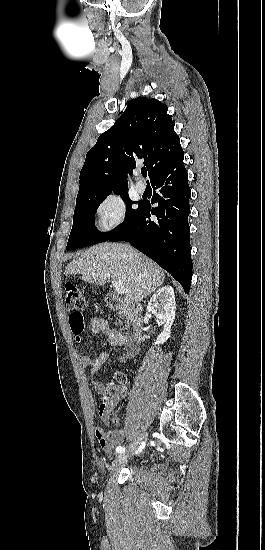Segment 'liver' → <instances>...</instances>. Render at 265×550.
<instances>
[{
	"mask_svg": "<svg viewBox=\"0 0 265 550\" xmlns=\"http://www.w3.org/2000/svg\"><path fill=\"white\" fill-rule=\"evenodd\" d=\"M66 275H81L85 282L103 286L120 281L125 297L139 302L160 287L165 274L151 259L127 244L101 243L78 254L66 267Z\"/></svg>",
	"mask_w": 265,
	"mask_h": 550,
	"instance_id": "obj_1",
	"label": "liver"
}]
</instances>
